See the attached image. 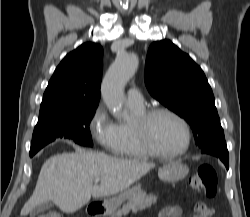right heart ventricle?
<instances>
[{
    "mask_svg": "<svg viewBox=\"0 0 250 217\" xmlns=\"http://www.w3.org/2000/svg\"><path fill=\"white\" fill-rule=\"evenodd\" d=\"M136 118L144 111V107L130 106ZM117 155L128 158H145L150 155L140 145L134 124L119 123L117 124V144L114 151Z\"/></svg>",
    "mask_w": 250,
    "mask_h": 217,
    "instance_id": "1",
    "label": "right heart ventricle"
}]
</instances>
